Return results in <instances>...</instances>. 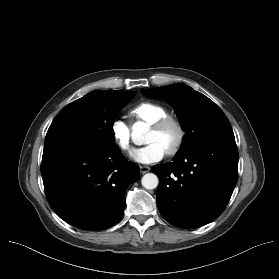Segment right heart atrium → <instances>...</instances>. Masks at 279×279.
Masks as SVG:
<instances>
[{"mask_svg": "<svg viewBox=\"0 0 279 279\" xmlns=\"http://www.w3.org/2000/svg\"><path fill=\"white\" fill-rule=\"evenodd\" d=\"M110 129L118 148L124 152H130L132 150V137L129 126L121 119H116L111 124Z\"/></svg>", "mask_w": 279, "mask_h": 279, "instance_id": "right-heart-atrium-1", "label": "right heart atrium"}]
</instances>
